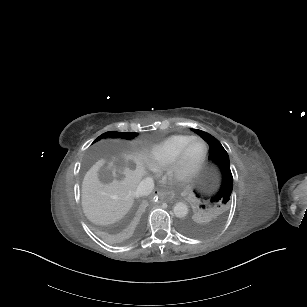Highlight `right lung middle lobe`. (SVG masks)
I'll return each mask as SVG.
<instances>
[{
    "label": "right lung middle lobe",
    "instance_id": "1",
    "mask_svg": "<svg viewBox=\"0 0 307 307\" xmlns=\"http://www.w3.org/2000/svg\"><path fill=\"white\" fill-rule=\"evenodd\" d=\"M137 135V133H131V132H117V131H109L102 135H100L97 139H95L94 142L100 140L101 138H124V139H132Z\"/></svg>",
    "mask_w": 307,
    "mask_h": 307
}]
</instances>
